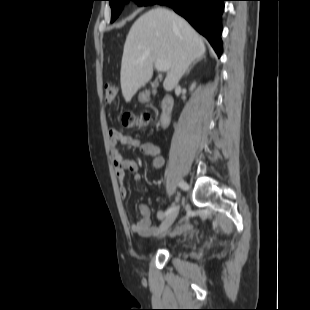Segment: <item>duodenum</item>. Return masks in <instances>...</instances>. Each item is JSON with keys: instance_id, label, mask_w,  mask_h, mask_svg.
I'll list each match as a JSON object with an SVG mask.
<instances>
[{"instance_id": "1", "label": "duodenum", "mask_w": 310, "mask_h": 310, "mask_svg": "<svg viewBox=\"0 0 310 310\" xmlns=\"http://www.w3.org/2000/svg\"><path fill=\"white\" fill-rule=\"evenodd\" d=\"M173 109V99L170 95H165L160 104L159 125L161 129L166 128L171 121Z\"/></svg>"}]
</instances>
